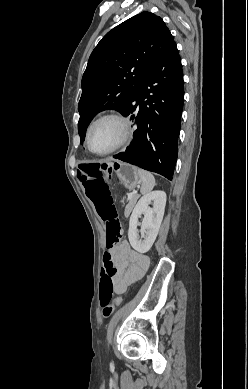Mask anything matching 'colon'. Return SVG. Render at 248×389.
Here are the masks:
<instances>
[{
  "label": "colon",
  "mask_w": 248,
  "mask_h": 389,
  "mask_svg": "<svg viewBox=\"0 0 248 389\" xmlns=\"http://www.w3.org/2000/svg\"><path fill=\"white\" fill-rule=\"evenodd\" d=\"M80 179L84 185L87 197L94 203L96 211L106 224V246H116L123 234L122 223L113 203L107 175L111 171L110 161H81ZM116 267L109 252L103 256V270L100 281L99 302L104 318L110 317L115 306L122 303V296L114 299V277Z\"/></svg>",
  "instance_id": "obj_1"
}]
</instances>
